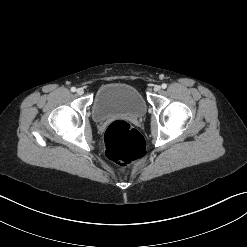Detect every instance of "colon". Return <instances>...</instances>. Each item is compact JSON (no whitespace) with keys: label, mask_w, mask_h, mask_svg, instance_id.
I'll use <instances>...</instances> for the list:
<instances>
[{"label":"colon","mask_w":247,"mask_h":247,"mask_svg":"<svg viewBox=\"0 0 247 247\" xmlns=\"http://www.w3.org/2000/svg\"><path fill=\"white\" fill-rule=\"evenodd\" d=\"M105 152L116 165L125 167L144 155L141 134L126 121L111 123L104 134Z\"/></svg>","instance_id":"colon-1"}]
</instances>
